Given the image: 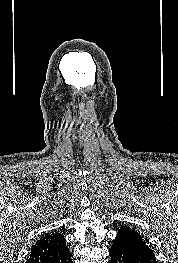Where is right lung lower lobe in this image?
Segmentation results:
<instances>
[{
	"label": "right lung lower lobe",
	"instance_id": "1",
	"mask_svg": "<svg viewBox=\"0 0 178 263\" xmlns=\"http://www.w3.org/2000/svg\"><path fill=\"white\" fill-rule=\"evenodd\" d=\"M72 254L70 253L69 250L63 252L60 254L58 257L50 261L49 263H73L71 260Z\"/></svg>",
	"mask_w": 178,
	"mask_h": 263
}]
</instances>
